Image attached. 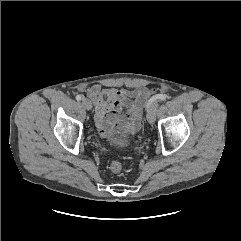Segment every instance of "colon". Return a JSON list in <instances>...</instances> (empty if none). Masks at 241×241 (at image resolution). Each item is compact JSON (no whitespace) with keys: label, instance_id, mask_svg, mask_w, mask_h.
I'll list each match as a JSON object with an SVG mask.
<instances>
[{"label":"colon","instance_id":"colon-1","mask_svg":"<svg viewBox=\"0 0 241 241\" xmlns=\"http://www.w3.org/2000/svg\"><path fill=\"white\" fill-rule=\"evenodd\" d=\"M109 168H110L111 172L119 173L122 169V164L118 160H113V161H111Z\"/></svg>","mask_w":241,"mask_h":241}]
</instances>
